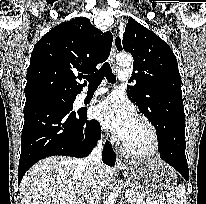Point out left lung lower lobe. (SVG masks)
Listing matches in <instances>:
<instances>
[{"label":"left lung lower lobe","mask_w":206,"mask_h":204,"mask_svg":"<svg viewBox=\"0 0 206 204\" xmlns=\"http://www.w3.org/2000/svg\"><path fill=\"white\" fill-rule=\"evenodd\" d=\"M159 152L162 160L173 166L188 180V165L185 155V116L168 121L165 132L158 135Z\"/></svg>","instance_id":"left-lung-lower-lobe-1"}]
</instances>
